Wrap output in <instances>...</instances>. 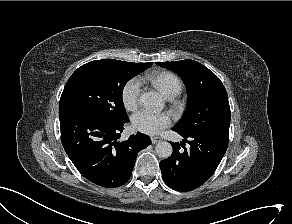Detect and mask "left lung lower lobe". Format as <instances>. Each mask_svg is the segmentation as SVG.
Segmentation results:
<instances>
[{
	"instance_id": "0a47b994",
	"label": "left lung lower lobe",
	"mask_w": 292,
	"mask_h": 224,
	"mask_svg": "<svg viewBox=\"0 0 292 224\" xmlns=\"http://www.w3.org/2000/svg\"><path fill=\"white\" fill-rule=\"evenodd\" d=\"M180 135L190 146L186 148L181 142L184 150H180L179 143L172 142L174 151L168 159L160 162V169L170 188L189 191L201 186L214 173L227 150L229 137Z\"/></svg>"
}]
</instances>
